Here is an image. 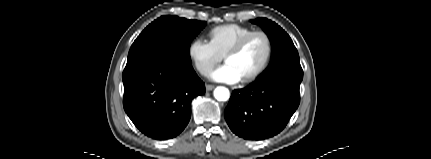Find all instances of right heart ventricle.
<instances>
[{
	"label": "right heart ventricle",
	"instance_id": "1",
	"mask_svg": "<svg viewBox=\"0 0 431 159\" xmlns=\"http://www.w3.org/2000/svg\"><path fill=\"white\" fill-rule=\"evenodd\" d=\"M252 31V28L240 24L219 25L209 31V43L223 56L238 40Z\"/></svg>",
	"mask_w": 431,
	"mask_h": 159
}]
</instances>
